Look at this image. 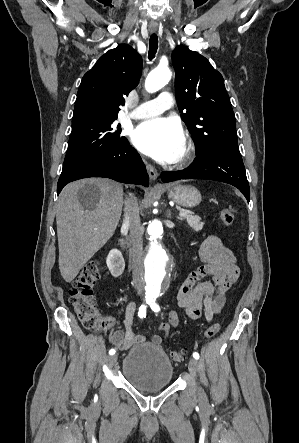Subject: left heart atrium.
I'll use <instances>...</instances> for the list:
<instances>
[{
  "label": "left heart atrium",
  "mask_w": 299,
  "mask_h": 443,
  "mask_svg": "<svg viewBox=\"0 0 299 443\" xmlns=\"http://www.w3.org/2000/svg\"><path fill=\"white\" fill-rule=\"evenodd\" d=\"M133 145L163 163L175 162L183 152L185 136L180 122L173 117H158L137 125L131 133Z\"/></svg>",
  "instance_id": "left-heart-atrium-1"
}]
</instances>
